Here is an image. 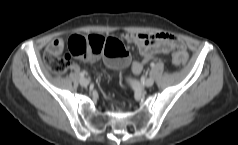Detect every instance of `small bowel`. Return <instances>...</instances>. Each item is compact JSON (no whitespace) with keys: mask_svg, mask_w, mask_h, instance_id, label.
Listing matches in <instances>:
<instances>
[{"mask_svg":"<svg viewBox=\"0 0 238 145\" xmlns=\"http://www.w3.org/2000/svg\"><path fill=\"white\" fill-rule=\"evenodd\" d=\"M123 38L134 44L139 53L143 56L142 61H131V70L133 74L139 75L144 68V64L157 57L159 54H168L173 49H179L182 52H185L183 42L176 36L168 33H159V34H123ZM63 47L62 39H54L47 46L48 52L53 54H60ZM186 53V52H185ZM86 62H93L95 60L94 56L92 58H83Z\"/></svg>","mask_w":238,"mask_h":145,"instance_id":"c3829d8e","label":"small bowel"}]
</instances>
